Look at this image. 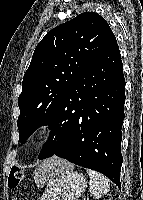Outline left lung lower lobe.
<instances>
[{
    "mask_svg": "<svg viewBox=\"0 0 143 200\" xmlns=\"http://www.w3.org/2000/svg\"><path fill=\"white\" fill-rule=\"evenodd\" d=\"M125 98L123 65L114 37L68 93L66 124L50 122L52 136L39 159L57 155L103 173L120 187Z\"/></svg>",
    "mask_w": 143,
    "mask_h": 200,
    "instance_id": "1",
    "label": "left lung lower lobe"
}]
</instances>
